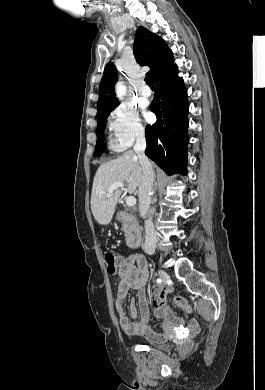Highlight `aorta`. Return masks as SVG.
I'll return each mask as SVG.
<instances>
[{
    "mask_svg": "<svg viewBox=\"0 0 265 390\" xmlns=\"http://www.w3.org/2000/svg\"><path fill=\"white\" fill-rule=\"evenodd\" d=\"M126 91V87L123 84L118 83L116 85V95L118 98L121 99L126 94Z\"/></svg>",
    "mask_w": 265,
    "mask_h": 390,
    "instance_id": "1",
    "label": "aorta"
}]
</instances>
